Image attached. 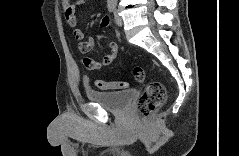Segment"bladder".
Masks as SVG:
<instances>
[{"label":"bladder","mask_w":239,"mask_h":156,"mask_svg":"<svg viewBox=\"0 0 239 156\" xmlns=\"http://www.w3.org/2000/svg\"><path fill=\"white\" fill-rule=\"evenodd\" d=\"M135 95L134 90L103 92L97 90H86L89 101L100 105L102 108L112 112H122L131 103Z\"/></svg>","instance_id":"31cf9c89"}]
</instances>
